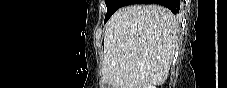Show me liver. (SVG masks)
<instances>
[{
  "instance_id": "1",
  "label": "liver",
  "mask_w": 227,
  "mask_h": 88,
  "mask_svg": "<svg viewBox=\"0 0 227 88\" xmlns=\"http://www.w3.org/2000/svg\"><path fill=\"white\" fill-rule=\"evenodd\" d=\"M178 40V21L160 5L120 8L106 25L102 80L111 88L162 85Z\"/></svg>"
}]
</instances>
